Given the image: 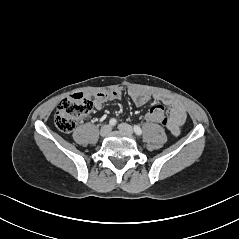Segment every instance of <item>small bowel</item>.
<instances>
[{"mask_svg":"<svg viewBox=\"0 0 239 239\" xmlns=\"http://www.w3.org/2000/svg\"><path fill=\"white\" fill-rule=\"evenodd\" d=\"M129 95L133 102L138 106H142L150 99H153L157 104L166 107L169 111V116L166 117L167 122L164 126H166L173 135H179L181 126L184 124L187 115L186 110L180 101L167 94L156 93L150 95L137 89L130 90ZM121 96L122 93L120 90L97 92L93 94L94 106L97 110H101L107 101L118 100Z\"/></svg>","mask_w":239,"mask_h":239,"instance_id":"obj_1","label":"small bowel"}]
</instances>
